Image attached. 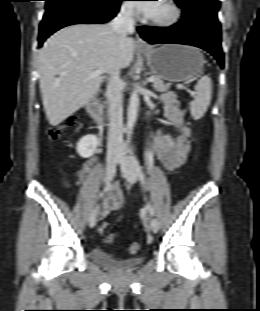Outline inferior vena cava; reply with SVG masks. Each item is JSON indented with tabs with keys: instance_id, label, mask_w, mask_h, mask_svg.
I'll list each match as a JSON object with an SVG mask.
<instances>
[{
	"instance_id": "obj_1",
	"label": "inferior vena cava",
	"mask_w": 260,
	"mask_h": 311,
	"mask_svg": "<svg viewBox=\"0 0 260 311\" xmlns=\"http://www.w3.org/2000/svg\"><path fill=\"white\" fill-rule=\"evenodd\" d=\"M111 27L119 36L120 43L126 38L128 33L134 32L133 10L123 7L118 15L112 20ZM120 69H117L109 80L106 97L109 104V131H108V151H121L123 142V95L121 92Z\"/></svg>"
}]
</instances>
